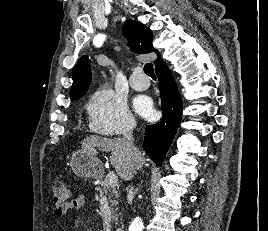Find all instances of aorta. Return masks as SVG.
<instances>
[{"label": "aorta", "mask_w": 268, "mask_h": 231, "mask_svg": "<svg viewBox=\"0 0 268 231\" xmlns=\"http://www.w3.org/2000/svg\"><path fill=\"white\" fill-rule=\"evenodd\" d=\"M143 230V222L140 217H135L132 221L129 231H142Z\"/></svg>", "instance_id": "1"}]
</instances>
